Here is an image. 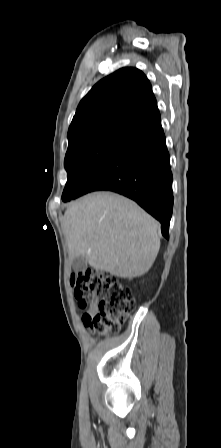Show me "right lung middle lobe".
Instances as JSON below:
<instances>
[{"instance_id": "obj_1", "label": "right lung middle lobe", "mask_w": 221, "mask_h": 448, "mask_svg": "<svg viewBox=\"0 0 221 448\" xmlns=\"http://www.w3.org/2000/svg\"><path fill=\"white\" fill-rule=\"evenodd\" d=\"M115 144L116 141L94 142L67 151L64 166L68 179L62 194L64 202L78 197L85 182Z\"/></svg>"}]
</instances>
